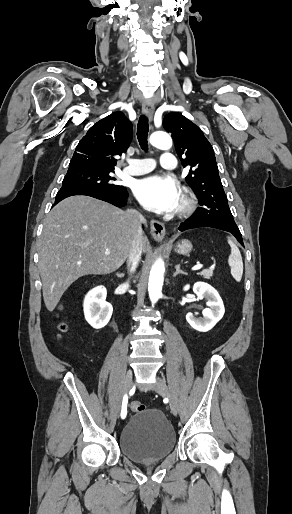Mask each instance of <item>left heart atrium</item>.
<instances>
[{
  "mask_svg": "<svg viewBox=\"0 0 292 514\" xmlns=\"http://www.w3.org/2000/svg\"><path fill=\"white\" fill-rule=\"evenodd\" d=\"M134 195L146 209L159 213L172 211L180 203L178 186L172 178L164 175H151L139 180Z\"/></svg>",
  "mask_w": 292,
  "mask_h": 514,
  "instance_id": "left-heart-atrium-1",
  "label": "left heart atrium"
}]
</instances>
